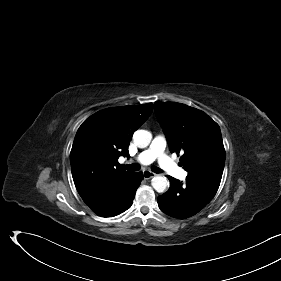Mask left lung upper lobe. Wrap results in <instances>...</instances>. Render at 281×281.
<instances>
[{
	"instance_id": "1",
	"label": "left lung upper lobe",
	"mask_w": 281,
	"mask_h": 281,
	"mask_svg": "<svg viewBox=\"0 0 281 281\" xmlns=\"http://www.w3.org/2000/svg\"><path fill=\"white\" fill-rule=\"evenodd\" d=\"M170 151L182 153L179 165L187 177L218 188L225 164V149L218 124L206 113L176 102L155 103Z\"/></svg>"
}]
</instances>
